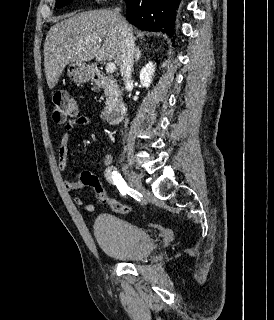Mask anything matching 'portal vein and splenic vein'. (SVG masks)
Instances as JSON below:
<instances>
[{"instance_id":"1","label":"portal vein and splenic vein","mask_w":274,"mask_h":320,"mask_svg":"<svg viewBox=\"0 0 274 320\" xmlns=\"http://www.w3.org/2000/svg\"><path fill=\"white\" fill-rule=\"evenodd\" d=\"M105 70L107 74H113V72L116 70V66L113 64V62H108V64L105 66Z\"/></svg>"}]
</instances>
